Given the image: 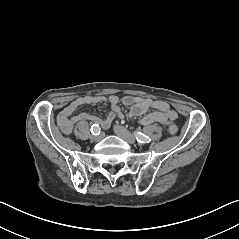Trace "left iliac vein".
I'll list each match as a JSON object with an SVG mask.
<instances>
[{
  "mask_svg": "<svg viewBox=\"0 0 239 239\" xmlns=\"http://www.w3.org/2000/svg\"><path fill=\"white\" fill-rule=\"evenodd\" d=\"M114 131L120 138L125 140L127 143H129V144L136 143L134 136L124 127L116 125V126H114Z\"/></svg>",
  "mask_w": 239,
  "mask_h": 239,
  "instance_id": "1",
  "label": "left iliac vein"
}]
</instances>
